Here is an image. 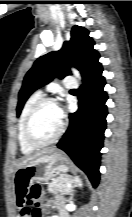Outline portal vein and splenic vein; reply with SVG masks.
<instances>
[{"label":"portal vein and splenic vein","instance_id":"portal-vein-and-splenic-vein-1","mask_svg":"<svg viewBox=\"0 0 132 217\" xmlns=\"http://www.w3.org/2000/svg\"><path fill=\"white\" fill-rule=\"evenodd\" d=\"M71 186H72L71 184H68V185H67L68 188H70Z\"/></svg>","mask_w":132,"mask_h":217}]
</instances>
